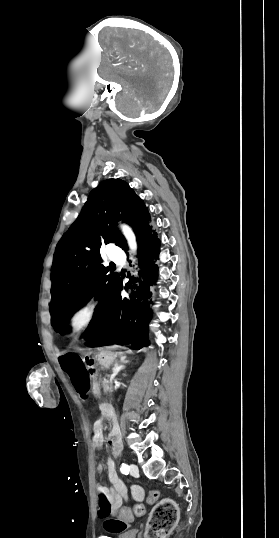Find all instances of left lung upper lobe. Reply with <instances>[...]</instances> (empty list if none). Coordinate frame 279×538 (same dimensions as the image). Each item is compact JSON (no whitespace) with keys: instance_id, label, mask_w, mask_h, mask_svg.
<instances>
[{"instance_id":"1","label":"left lung upper lobe","mask_w":279,"mask_h":538,"mask_svg":"<svg viewBox=\"0 0 279 538\" xmlns=\"http://www.w3.org/2000/svg\"><path fill=\"white\" fill-rule=\"evenodd\" d=\"M131 225L139 239L151 225L143 200L120 179H108L93 189L78 219L57 244L53 258L52 324L57 332L68 331L70 315L91 297L100 298L93 319L83 336L95 334L115 308L114 295L121 279L101 262L100 247L114 243L127 250L117 221Z\"/></svg>"}]
</instances>
